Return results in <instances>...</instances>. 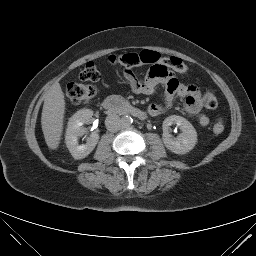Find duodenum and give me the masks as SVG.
I'll return each instance as SVG.
<instances>
[{
    "label": "duodenum",
    "instance_id": "duodenum-1",
    "mask_svg": "<svg viewBox=\"0 0 256 256\" xmlns=\"http://www.w3.org/2000/svg\"><path fill=\"white\" fill-rule=\"evenodd\" d=\"M103 108L109 113H117L121 115H132L140 119L145 118V113L130 103L116 98L108 97L102 103Z\"/></svg>",
    "mask_w": 256,
    "mask_h": 256
}]
</instances>
